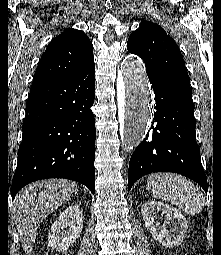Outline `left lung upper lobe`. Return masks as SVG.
Returning <instances> with one entry per match:
<instances>
[{
    "mask_svg": "<svg viewBox=\"0 0 221 255\" xmlns=\"http://www.w3.org/2000/svg\"><path fill=\"white\" fill-rule=\"evenodd\" d=\"M130 53L142 58L147 74L192 93L184 59L176 42L156 23L143 20L127 42Z\"/></svg>",
    "mask_w": 221,
    "mask_h": 255,
    "instance_id": "5c2ea615",
    "label": "left lung upper lobe"
}]
</instances>
